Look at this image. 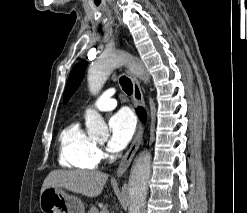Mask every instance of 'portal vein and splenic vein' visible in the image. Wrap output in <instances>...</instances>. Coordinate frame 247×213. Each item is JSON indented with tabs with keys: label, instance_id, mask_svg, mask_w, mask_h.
<instances>
[{
	"label": "portal vein and splenic vein",
	"instance_id": "18ae733b",
	"mask_svg": "<svg viewBox=\"0 0 247 213\" xmlns=\"http://www.w3.org/2000/svg\"><path fill=\"white\" fill-rule=\"evenodd\" d=\"M100 213H109V211L106 208H103Z\"/></svg>",
	"mask_w": 247,
	"mask_h": 213
}]
</instances>
